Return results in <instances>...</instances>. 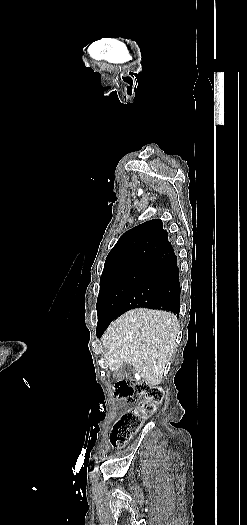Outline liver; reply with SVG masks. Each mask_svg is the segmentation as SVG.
I'll return each mask as SVG.
<instances>
[{
	"instance_id": "6515ba94",
	"label": "liver",
	"mask_w": 247,
	"mask_h": 525,
	"mask_svg": "<svg viewBox=\"0 0 247 525\" xmlns=\"http://www.w3.org/2000/svg\"><path fill=\"white\" fill-rule=\"evenodd\" d=\"M179 323L176 315L132 309L110 323L101 337L110 371L129 363L149 385H160L170 369Z\"/></svg>"
}]
</instances>
